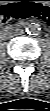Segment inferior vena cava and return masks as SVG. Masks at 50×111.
I'll use <instances>...</instances> for the list:
<instances>
[{
  "label": "inferior vena cava",
  "mask_w": 50,
  "mask_h": 111,
  "mask_svg": "<svg viewBox=\"0 0 50 111\" xmlns=\"http://www.w3.org/2000/svg\"><path fill=\"white\" fill-rule=\"evenodd\" d=\"M24 33V31L20 28H15L12 32L11 35L12 36H18V35H22Z\"/></svg>",
  "instance_id": "602c4592"
}]
</instances>
